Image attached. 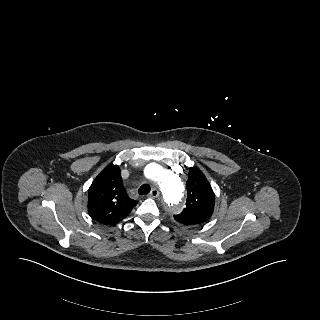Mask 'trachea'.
Wrapping results in <instances>:
<instances>
[{"label": "trachea", "instance_id": "1", "mask_svg": "<svg viewBox=\"0 0 320 320\" xmlns=\"http://www.w3.org/2000/svg\"><path fill=\"white\" fill-rule=\"evenodd\" d=\"M139 194H148L150 192V186L148 184H143L139 190H138Z\"/></svg>", "mask_w": 320, "mask_h": 320}]
</instances>
